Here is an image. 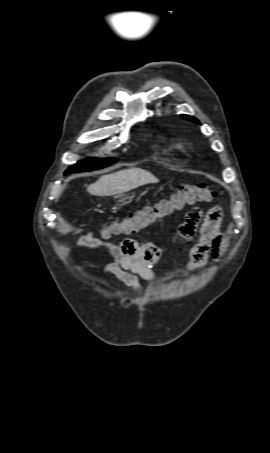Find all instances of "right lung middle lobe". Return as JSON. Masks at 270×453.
I'll use <instances>...</instances> for the list:
<instances>
[{
  "instance_id": "dd1d6c3e",
  "label": "right lung middle lobe",
  "mask_w": 270,
  "mask_h": 453,
  "mask_svg": "<svg viewBox=\"0 0 270 453\" xmlns=\"http://www.w3.org/2000/svg\"><path fill=\"white\" fill-rule=\"evenodd\" d=\"M116 159H87L77 163L74 166H71L65 173L70 172H82V171H92L96 169H101L103 167L109 166L115 163Z\"/></svg>"
}]
</instances>
